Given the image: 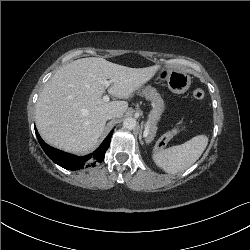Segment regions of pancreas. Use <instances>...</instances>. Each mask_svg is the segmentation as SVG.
Wrapping results in <instances>:
<instances>
[{
    "mask_svg": "<svg viewBox=\"0 0 250 250\" xmlns=\"http://www.w3.org/2000/svg\"><path fill=\"white\" fill-rule=\"evenodd\" d=\"M138 94L145 97L146 100L151 101L153 106V109L151 110L149 115V132L147 137L148 142H151L156 135L158 120L160 119L161 114L164 111V101L161 95L156 91V89L150 86L139 89ZM173 135V132H168L160 138L159 142L162 141L164 137H166L164 142L167 143V141L171 137H173Z\"/></svg>",
    "mask_w": 250,
    "mask_h": 250,
    "instance_id": "pancreas-1",
    "label": "pancreas"
}]
</instances>
